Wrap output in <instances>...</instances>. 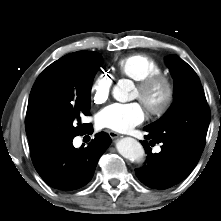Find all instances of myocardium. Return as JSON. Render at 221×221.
<instances>
[{
	"mask_svg": "<svg viewBox=\"0 0 221 221\" xmlns=\"http://www.w3.org/2000/svg\"><path fill=\"white\" fill-rule=\"evenodd\" d=\"M157 86L163 87L164 97L159 105H150L146 101V97ZM137 87L142 93L141 101L149 114L152 116H162L170 109L174 101L175 87L171 77L168 74L158 72L148 75L138 81Z\"/></svg>",
	"mask_w": 221,
	"mask_h": 221,
	"instance_id": "obj_1",
	"label": "myocardium"
}]
</instances>
